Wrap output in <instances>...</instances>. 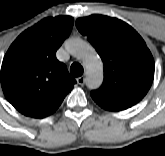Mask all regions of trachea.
Returning a JSON list of instances; mask_svg holds the SVG:
<instances>
[{
  "label": "trachea",
  "mask_w": 165,
  "mask_h": 156,
  "mask_svg": "<svg viewBox=\"0 0 165 156\" xmlns=\"http://www.w3.org/2000/svg\"><path fill=\"white\" fill-rule=\"evenodd\" d=\"M72 77H80L83 74V67L79 63H73L70 68Z\"/></svg>",
  "instance_id": "obj_1"
}]
</instances>
